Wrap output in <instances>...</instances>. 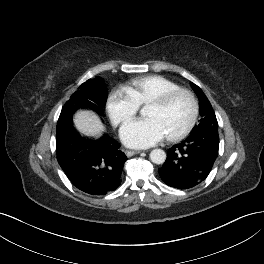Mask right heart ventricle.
I'll list each match as a JSON object with an SVG mask.
<instances>
[{"label":"right heart ventricle","mask_w":264,"mask_h":264,"mask_svg":"<svg viewBox=\"0 0 264 264\" xmlns=\"http://www.w3.org/2000/svg\"><path fill=\"white\" fill-rule=\"evenodd\" d=\"M176 88H179V85L167 77L146 75L132 80L126 87V90L138 106H143Z\"/></svg>","instance_id":"1"}]
</instances>
